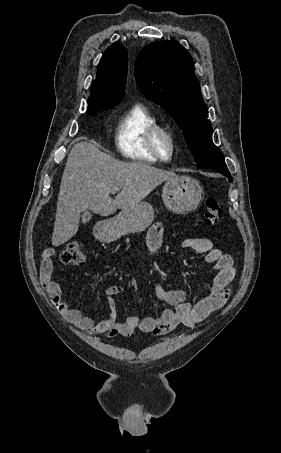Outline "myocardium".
<instances>
[{
  "mask_svg": "<svg viewBox=\"0 0 281 453\" xmlns=\"http://www.w3.org/2000/svg\"><path fill=\"white\" fill-rule=\"evenodd\" d=\"M149 147L152 153L162 162H170L173 160L176 153V138L168 128L157 125L155 126L148 138ZM168 146V155L166 156L163 151V144Z\"/></svg>",
  "mask_w": 281,
  "mask_h": 453,
  "instance_id": "obj_1",
  "label": "myocardium"
}]
</instances>
